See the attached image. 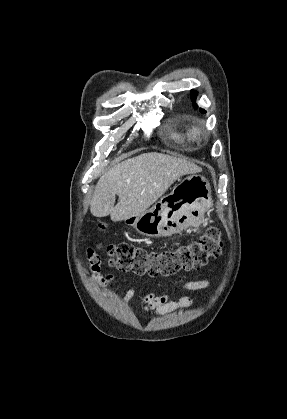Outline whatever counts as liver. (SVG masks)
<instances>
[{
  "instance_id": "liver-1",
  "label": "liver",
  "mask_w": 287,
  "mask_h": 419,
  "mask_svg": "<svg viewBox=\"0 0 287 419\" xmlns=\"http://www.w3.org/2000/svg\"><path fill=\"white\" fill-rule=\"evenodd\" d=\"M201 168L187 158L148 152L114 165L97 182L90 201L95 217L114 222L145 212L181 176ZM119 200L115 206V196Z\"/></svg>"
}]
</instances>
